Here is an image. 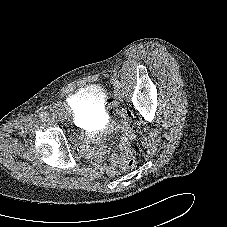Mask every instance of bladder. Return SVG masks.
Instances as JSON below:
<instances>
[{"label": "bladder", "mask_w": 227, "mask_h": 227, "mask_svg": "<svg viewBox=\"0 0 227 227\" xmlns=\"http://www.w3.org/2000/svg\"><path fill=\"white\" fill-rule=\"evenodd\" d=\"M105 92L98 85L87 86L81 92L72 95L69 104H76V112L80 120L90 123L105 114Z\"/></svg>", "instance_id": "bladder-1"}]
</instances>
